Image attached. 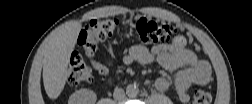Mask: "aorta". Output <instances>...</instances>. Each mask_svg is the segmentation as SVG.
<instances>
[{
	"instance_id": "obj_1",
	"label": "aorta",
	"mask_w": 252,
	"mask_h": 104,
	"mask_svg": "<svg viewBox=\"0 0 252 104\" xmlns=\"http://www.w3.org/2000/svg\"><path fill=\"white\" fill-rule=\"evenodd\" d=\"M126 94L128 97H136L139 94L138 86L136 84L127 85Z\"/></svg>"
}]
</instances>
